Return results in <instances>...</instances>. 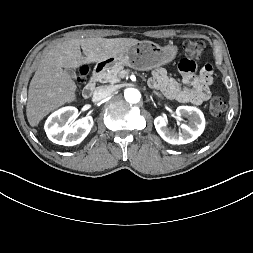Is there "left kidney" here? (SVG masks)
<instances>
[{"label": "left kidney", "instance_id": "1", "mask_svg": "<svg viewBox=\"0 0 253 253\" xmlns=\"http://www.w3.org/2000/svg\"><path fill=\"white\" fill-rule=\"evenodd\" d=\"M176 113L178 116L188 118L189 121L188 125H181L182 132L179 133L170 131L166 117L158 116L154 120L155 128L164 141L170 144H187L203 133L205 119L201 110L193 106H179Z\"/></svg>", "mask_w": 253, "mask_h": 253}]
</instances>
